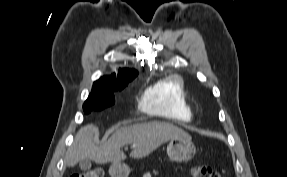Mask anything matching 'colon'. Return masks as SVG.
<instances>
[{
	"label": "colon",
	"instance_id": "1",
	"mask_svg": "<svg viewBox=\"0 0 287 177\" xmlns=\"http://www.w3.org/2000/svg\"><path fill=\"white\" fill-rule=\"evenodd\" d=\"M191 175L192 177H220L219 173L208 165L195 166ZM70 177H104V172L100 168H94L82 174H73Z\"/></svg>",
	"mask_w": 287,
	"mask_h": 177
}]
</instances>
